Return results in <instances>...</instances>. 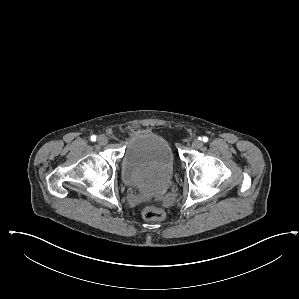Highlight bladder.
<instances>
[{"label": "bladder", "instance_id": "bladder-1", "mask_svg": "<svg viewBox=\"0 0 299 299\" xmlns=\"http://www.w3.org/2000/svg\"><path fill=\"white\" fill-rule=\"evenodd\" d=\"M175 156L162 135L139 131L128 141L121 161V177L129 185H142L162 193L174 173Z\"/></svg>", "mask_w": 299, "mask_h": 299}]
</instances>
